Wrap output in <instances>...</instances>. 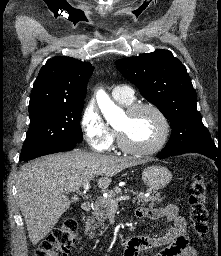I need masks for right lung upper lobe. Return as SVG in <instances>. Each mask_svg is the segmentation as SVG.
<instances>
[{
	"instance_id": "cb5924a9",
	"label": "right lung upper lobe",
	"mask_w": 221,
	"mask_h": 256,
	"mask_svg": "<svg viewBox=\"0 0 221 256\" xmlns=\"http://www.w3.org/2000/svg\"><path fill=\"white\" fill-rule=\"evenodd\" d=\"M94 67L89 62L58 56L41 68L30 95L29 110L84 102L88 79Z\"/></svg>"
}]
</instances>
